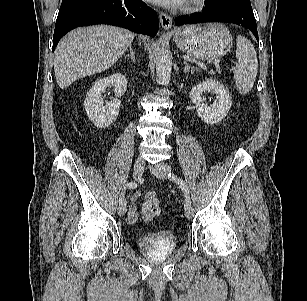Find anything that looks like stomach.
<instances>
[{
	"mask_svg": "<svg viewBox=\"0 0 307 301\" xmlns=\"http://www.w3.org/2000/svg\"><path fill=\"white\" fill-rule=\"evenodd\" d=\"M179 49L199 60H217L231 49L232 35L221 23L188 25L174 31Z\"/></svg>",
	"mask_w": 307,
	"mask_h": 301,
	"instance_id": "stomach-1",
	"label": "stomach"
}]
</instances>
